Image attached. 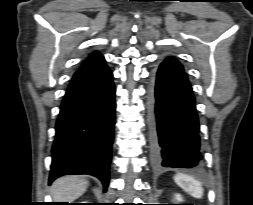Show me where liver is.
I'll return each instance as SVG.
<instances>
[{"label":"liver","instance_id":"obj_1","mask_svg":"<svg viewBox=\"0 0 253 205\" xmlns=\"http://www.w3.org/2000/svg\"><path fill=\"white\" fill-rule=\"evenodd\" d=\"M88 181L84 176L68 175L58 178L51 186L55 202H71L86 191Z\"/></svg>","mask_w":253,"mask_h":205}]
</instances>
